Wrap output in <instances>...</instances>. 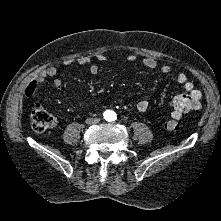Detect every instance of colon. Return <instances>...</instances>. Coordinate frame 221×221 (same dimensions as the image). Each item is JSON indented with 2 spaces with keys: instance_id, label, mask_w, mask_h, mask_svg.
I'll return each mask as SVG.
<instances>
[{
  "instance_id": "5ec220e1",
  "label": "colon",
  "mask_w": 221,
  "mask_h": 221,
  "mask_svg": "<svg viewBox=\"0 0 221 221\" xmlns=\"http://www.w3.org/2000/svg\"><path fill=\"white\" fill-rule=\"evenodd\" d=\"M180 117H174L165 122V128L169 131H177L180 128ZM32 127L37 132H43L51 128L56 120L55 117L46 112L40 105L36 106L31 115Z\"/></svg>"
}]
</instances>
